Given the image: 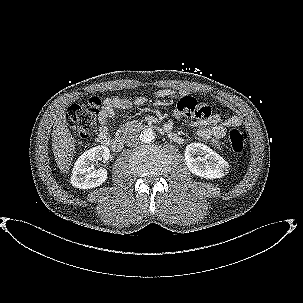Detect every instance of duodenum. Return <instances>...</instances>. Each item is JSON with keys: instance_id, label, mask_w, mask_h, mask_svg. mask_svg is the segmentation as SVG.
Segmentation results:
<instances>
[{"instance_id": "410a0bca", "label": "duodenum", "mask_w": 303, "mask_h": 303, "mask_svg": "<svg viewBox=\"0 0 303 303\" xmlns=\"http://www.w3.org/2000/svg\"><path fill=\"white\" fill-rule=\"evenodd\" d=\"M149 126L147 124H143V123H132L129 124L126 128V132H131V131H135V130H146L148 129ZM160 132L165 135L168 136L169 138L172 136V134L165 129L164 127L160 128ZM124 133L119 135L118 137H115L113 139H108L105 145H108L113 151L115 152H119L121 151V149L124 146Z\"/></svg>"}]
</instances>
